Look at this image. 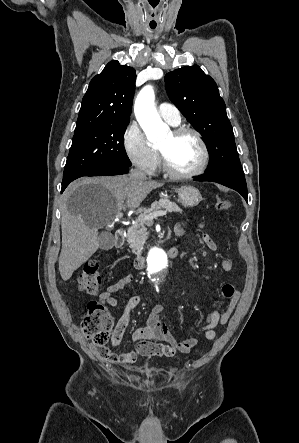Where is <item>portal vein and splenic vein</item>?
Wrapping results in <instances>:
<instances>
[{"label":"portal vein and splenic vein","mask_w":299,"mask_h":443,"mask_svg":"<svg viewBox=\"0 0 299 443\" xmlns=\"http://www.w3.org/2000/svg\"><path fill=\"white\" fill-rule=\"evenodd\" d=\"M166 214H167V211L160 210V211L151 213L150 215L146 216L145 219L149 220V221H152L153 219L165 216ZM121 217H122V214L121 213H117L115 218H121Z\"/></svg>","instance_id":"18ae733b"}]
</instances>
